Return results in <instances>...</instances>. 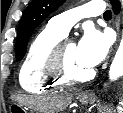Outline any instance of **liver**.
<instances>
[{"label": "liver", "instance_id": "1", "mask_svg": "<svg viewBox=\"0 0 123 113\" xmlns=\"http://www.w3.org/2000/svg\"><path fill=\"white\" fill-rule=\"evenodd\" d=\"M13 99L20 105L27 106L40 113H58L66 109L72 102V95L44 97L15 96Z\"/></svg>", "mask_w": 123, "mask_h": 113}]
</instances>
